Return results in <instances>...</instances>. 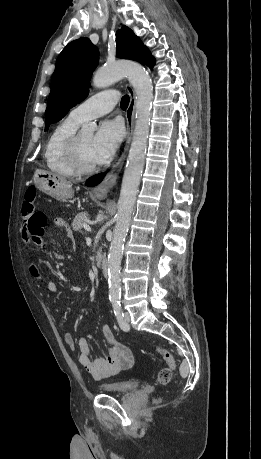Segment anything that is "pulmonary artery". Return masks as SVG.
<instances>
[{
  "label": "pulmonary artery",
  "mask_w": 261,
  "mask_h": 459,
  "mask_svg": "<svg viewBox=\"0 0 261 459\" xmlns=\"http://www.w3.org/2000/svg\"><path fill=\"white\" fill-rule=\"evenodd\" d=\"M118 99L119 93L114 89L98 92L76 106L69 116L79 122L100 117L110 112Z\"/></svg>",
  "instance_id": "1"
}]
</instances>
